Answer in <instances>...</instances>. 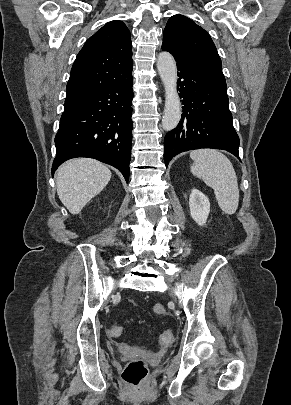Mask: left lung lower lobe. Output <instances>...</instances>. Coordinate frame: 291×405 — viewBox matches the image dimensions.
Instances as JSON below:
<instances>
[{
  "label": "left lung lower lobe",
  "mask_w": 291,
  "mask_h": 405,
  "mask_svg": "<svg viewBox=\"0 0 291 405\" xmlns=\"http://www.w3.org/2000/svg\"><path fill=\"white\" fill-rule=\"evenodd\" d=\"M172 55L184 107L181 121L165 136L166 167L175 155L200 148L227 150L239 158V137L232 124L222 66Z\"/></svg>",
  "instance_id": "obj_1"
}]
</instances>
